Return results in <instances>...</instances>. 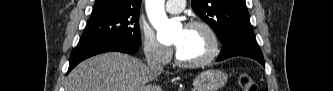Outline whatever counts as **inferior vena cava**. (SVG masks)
<instances>
[{
  "label": "inferior vena cava",
  "mask_w": 333,
  "mask_h": 91,
  "mask_svg": "<svg viewBox=\"0 0 333 91\" xmlns=\"http://www.w3.org/2000/svg\"><path fill=\"white\" fill-rule=\"evenodd\" d=\"M147 64L151 72L161 73L163 71V66L159 60L158 52L155 50H152L147 57Z\"/></svg>",
  "instance_id": "602c4592"
}]
</instances>
